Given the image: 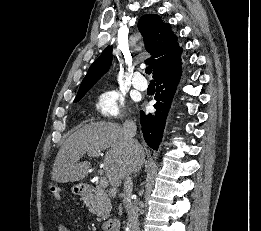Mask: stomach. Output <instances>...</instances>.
<instances>
[{
  "instance_id": "stomach-1",
  "label": "stomach",
  "mask_w": 261,
  "mask_h": 231,
  "mask_svg": "<svg viewBox=\"0 0 261 231\" xmlns=\"http://www.w3.org/2000/svg\"><path fill=\"white\" fill-rule=\"evenodd\" d=\"M80 189H81V185H77V186H74L72 188L73 192H76V193H79L80 192Z\"/></svg>"
}]
</instances>
